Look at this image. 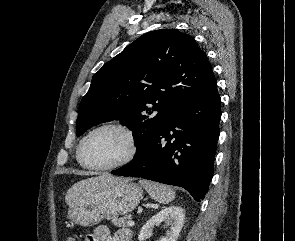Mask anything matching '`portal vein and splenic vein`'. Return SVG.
Listing matches in <instances>:
<instances>
[{"instance_id": "1", "label": "portal vein and splenic vein", "mask_w": 295, "mask_h": 241, "mask_svg": "<svg viewBox=\"0 0 295 241\" xmlns=\"http://www.w3.org/2000/svg\"><path fill=\"white\" fill-rule=\"evenodd\" d=\"M127 224H128V226H134L135 225L133 220H128Z\"/></svg>"}]
</instances>
